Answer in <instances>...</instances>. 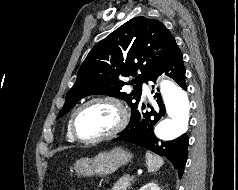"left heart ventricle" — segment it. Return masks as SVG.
<instances>
[{
	"label": "left heart ventricle",
	"mask_w": 238,
	"mask_h": 190,
	"mask_svg": "<svg viewBox=\"0 0 238 190\" xmlns=\"http://www.w3.org/2000/svg\"><path fill=\"white\" fill-rule=\"evenodd\" d=\"M117 119V112L111 105L95 103L79 113L76 128L82 137H95L110 131Z\"/></svg>",
	"instance_id": "b2bd125f"
}]
</instances>
